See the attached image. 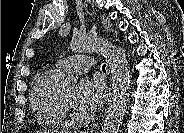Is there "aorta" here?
Masks as SVG:
<instances>
[{
    "instance_id": "obj_1",
    "label": "aorta",
    "mask_w": 184,
    "mask_h": 133,
    "mask_svg": "<svg viewBox=\"0 0 184 133\" xmlns=\"http://www.w3.org/2000/svg\"><path fill=\"white\" fill-rule=\"evenodd\" d=\"M71 49L76 53L97 52L106 59L112 75V96L101 133H117L125 116L130 90V68L125 54L111 42L89 36L74 35ZM76 78L63 77V85L73 87Z\"/></svg>"
}]
</instances>
